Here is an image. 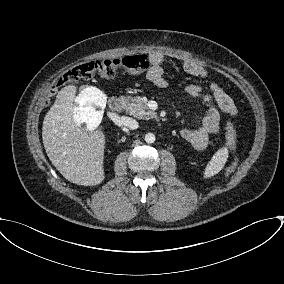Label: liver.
Wrapping results in <instances>:
<instances>
[{
  "mask_svg": "<svg viewBox=\"0 0 284 284\" xmlns=\"http://www.w3.org/2000/svg\"><path fill=\"white\" fill-rule=\"evenodd\" d=\"M76 87L62 88L44 117L42 139L53 166L68 181L94 186L104 179L105 136L101 130L87 132L74 122Z\"/></svg>",
  "mask_w": 284,
  "mask_h": 284,
  "instance_id": "6515ba94",
  "label": "liver"
}]
</instances>
